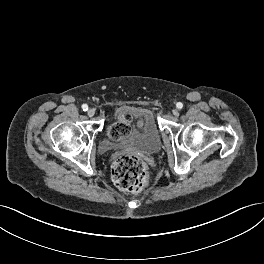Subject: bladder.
<instances>
[{
	"mask_svg": "<svg viewBox=\"0 0 264 264\" xmlns=\"http://www.w3.org/2000/svg\"><path fill=\"white\" fill-rule=\"evenodd\" d=\"M127 113L132 124L126 135L114 138L108 130V138L100 144L102 152L129 149L143 155H152L161 148V134L153 112L147 108L120 109L117 116Z\"/></svg>",
	"mask_w": 264,
	"mask_h": 264,
	"instance_id": "bladder-1",
	"label": "bladder"
}]
</instances>
